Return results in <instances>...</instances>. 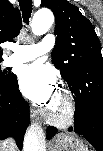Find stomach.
Instances as JSON below:
<instances>
[{
	"label": "stomach",
	"instance_id": "obj_1",
	"mask_svg": "<svg viewBox=\"0 0 103 151\" xmlns=\"http://www.w3.org/2000/svg\"><path fill=\"white\" fill-rule=\"evenodd\" d=\"M50 151H88V149L78 137L60 134L50 144Z\"/></svg>",
	"mask_w": 103,
	"mask_h": 151
}]
</instances>
